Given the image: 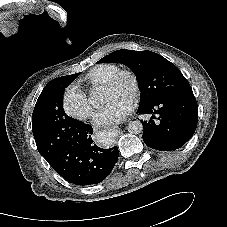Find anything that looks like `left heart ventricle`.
Masks as SVG:
<instances>
[{
    "instance_id": "obj_1",
    "label": "left heart ventricle",
    "mask_w": 227,
    "mask_h": 227,
    "mask_svg": "<svg viewBox=\"0 0 227 227\" xmlns=\"http://www.w3.org/2000/svg\"><path fill=\"white\" fill-rule=\"evenodd\" d=\"M104 101L106 103L114 99H130L131 86L128 80L121 81L116 87L103 89Z\"/></svg>"
}]
</instances>
